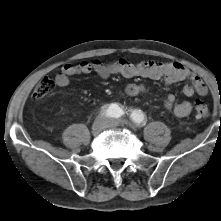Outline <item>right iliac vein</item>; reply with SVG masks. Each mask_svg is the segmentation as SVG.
Returning a JSON list of instances; mask_svg holds the SVG:
<instances>
[{"mask_svg": "<svg viewBox=\"0 0 221 221\" xmlns=\"http://www.w3.org/2000/svg\"><path fill=\"white\" fill-rule=\"evenodd\" d=\"M108 125V119L104 118V117H98L92 127H91V130H92V133L94 135H97L99 134L102 130H104Z\"/></svg>", "mask_w": 221, "mask_h": 221, "instance_id": "63e3f726", "label": "right iliac vein"}]
</instances>
